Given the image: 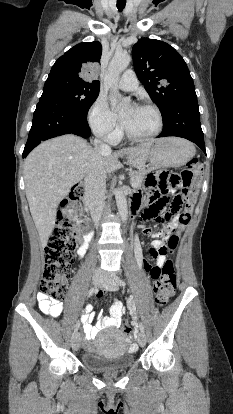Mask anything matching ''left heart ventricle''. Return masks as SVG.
<instances>
[{"label":"left heart ventricle","mask_w":233,"mask_h":414,"mask_svg":"<svg viewBox=\"0 0 233 414\" xmlns=\"http://www.w3.org/2000/svg\"><path fill=\"white\" fill-rule=\"evenodd\" d=\"M121 118L128 130L139 136L149 135L158 127V118L155 112L140 106L125 107L121 111Z\"/></svg>","instance_id":"1"}]
</instances>
